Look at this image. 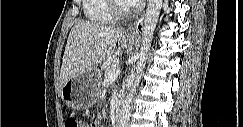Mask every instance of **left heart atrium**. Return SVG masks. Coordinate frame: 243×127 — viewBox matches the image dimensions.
I'll list each match as a JSON object with an SVG mask.
<instances>
[{
    "label": "left heart atrium",
    "mask_w": 243,
    "mask_h": 127,
    "mask_svg": "<svg viewBox=\"0 0 243 127\" xmlns=\"http://www.w3.org/2000/svg\"><path fill=\"white\" fill-rule=\"evenodd\" d=\"M126 2L130 5H137L141 3V0H127Z\"/></svg>",
    "instance_id": "obj_1"
}]
</instances>
